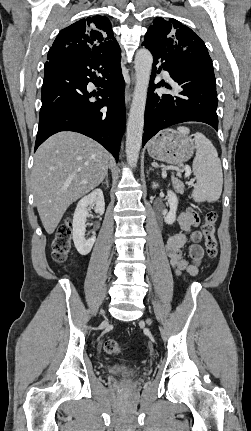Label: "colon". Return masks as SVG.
<instances>
[{
    "mask_svg": "<svg viewBox=\"0 0 251 431\" xmlns=\"http://www.w3.org/2000/svg\"><path fill=\"white\" fill-rule=\"evenodd\" d=\"M217 213L210 209L205 214L204 222L201 226V232L205 238L206 254L210 259H214L218 255V240L216 238V222ZM71 235L72 226L71 220L66 218L57 228L55 237L52 241V259L56 263L64 262L71 252ZM104 350L109 355H119L122 351L120 344L108 339L104 343Z\"/></svg>",
    "mask_w": 251,
    "mask_h": 431,
    "instance_id": "colon-1",
    "label": "colon"
}]
</instances>
